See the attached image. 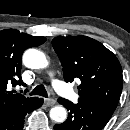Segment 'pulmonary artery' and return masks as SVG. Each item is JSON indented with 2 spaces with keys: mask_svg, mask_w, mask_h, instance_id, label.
Listing matches in <instances>:
<instances>
[{
  "mask_svg": "<svg viewBox=\"0 0 130 130\" xmlns=\"http://www.w3.org/2000/svg\"><path fill=\"white\" fill-rule=\"evenodd\" d=\"M54 89L62 96L69 100H75L77 98L76 93L70 90L63 82L55 81L53 83Z\"/></svg>",
  "mask_w": 130,
  "mask_h": 130,
  "instance_id": "1",
  "label": "pulmonary artery"
}]
</instances>
